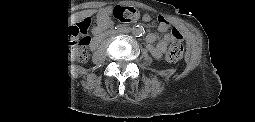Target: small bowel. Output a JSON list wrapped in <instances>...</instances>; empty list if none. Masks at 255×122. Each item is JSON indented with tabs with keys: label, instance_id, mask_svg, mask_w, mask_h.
Instances as JSON below:
<instances>
[{
	"label": "small bowel",
	"instance_id": "c3829d8e",
	"mask_svg": "<svg viewBox=\"0 0 255 122\" xmlns=\"http://www.w3.org/2000/svg\"><path fill=\"white\" fill-rule=\"evenodd\" d=\"M145 21L148 20V17L144 18ZM168 28V23L166 22L165 19L161 18L159 20V27H158V32H164ZM179 33V32H178ZM180 35V40L182 39L181 34ZM158 40V34L155 32L149 33L146 36V42H147V50L152 53V55L156 58H161L163 54L165 53L167 47L169 44H172L177 40V37L172 33H168L165 35L162 39L159 40L157 45H153L156 41Z\"/></svg>",
	"mask_w": 255,
	"mask_h": 122
}]
</instances>
